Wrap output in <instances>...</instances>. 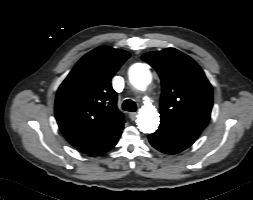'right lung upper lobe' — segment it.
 Listing matches in <instances>:
<instances>
[{
  "instance_id": "right-lung-upper-lobe-1",
  "label": "right lung upper lobe",
  "mask_w": 253,
  "mask_h": 200,
  "mask_svg": "<svg viewBox=\"0 0 253 200\" xmlns=\"http://www.w3.org/2000/svg\"><path fill=\"white\" fill-rule=\"evenodd\" d=\"M129 57L124 50L98 47L78 61L58 89L59 128L69 143L88 155L107 148L122 133L123 114L111 78Z\"/></svg>"
}]
</instances>
